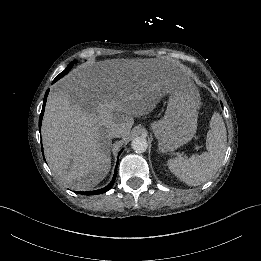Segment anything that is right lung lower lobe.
<instances>
[{
  "label": "right lung lower lobe",
  "mask_w": 261,
  "mask_h": 261,
  "mask_svg": "<svg viewBox=\"0 0 261 261\" xmlns=\"http://www.w3.org/2000/svg\"><path fill=\"white\" fill-rule=\"evenodd\" d=\"M48 93H49V90L46 91L45 96H44V100H43V107H42V111H41L40 118H39V130H40V127H41L42 117H43V114H44L45 104H46V100H47ZM122 151H123V150H121V151L119 152V155L122 153ZM118 163H119V159H118L117 164H116V167H115L113 179H112V181H111L106 187H104V188H102V189H99V190H95V191H86V192H78V193H79V194H82V195H97V194L105 193V192H107L108 190H110L111 187H112V186L114 185V183H115V179H116V176H117Z\"/></svg>",
  "instance_id": "1"
}]
</instances>
